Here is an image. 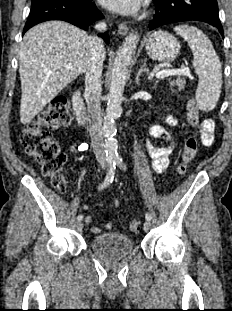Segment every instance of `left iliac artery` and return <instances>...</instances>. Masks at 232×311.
I'll return each instance as SVG.
<instances>
[{"instance_id": "1", "label": "left iliac artery", "mask_w": 232, "mask_h": 311, "mask_svg": "<svg viewBox=\"0 0 232 311\" xmlns=\"http://www.w3.org/2000/svg\"><path fill=\"white\" fill-rule=\"evenodd\" d=\"M115 162L120 168H122L124 170L126 169V166L124 165L122 158H120V157L115 158ZM145 218L147 221H150L152 217L149 213H147Z\"/></svg>"}]
</instances>
